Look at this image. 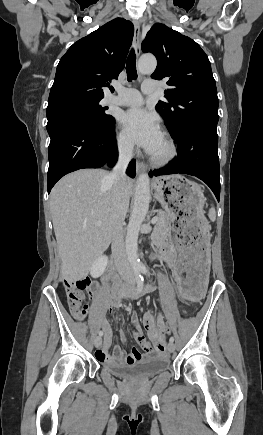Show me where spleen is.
Here are the masks:
<instances>
[{
  "instance_id": "1",
  "label": "spleen",
  "mask_w": 263,
  "mask_h": 435,
  "mask_svg": "<svg viewBox=\"0 0 263 435\" xmlns=\"http://www.w3.org/2000/svg\"><path fill=\"white\" fill-rule=\"evenodd\" d=\"M215 217H216V214H215V208L212 207V208L209 210V218H210L211 220H215Z\"/></svg>"
}]
</instances>
